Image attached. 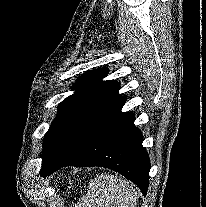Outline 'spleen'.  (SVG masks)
Segmentation results:
<instances>
[{
    "mask_svg": "<svg viewBox=\"0 0 206 207\" xmlns=\"http://www.w3.org/2000/svg\"><path fill=\"white\" fill-rule=\"evenodd\" d=\"M138 193L129 181L101 174L89 183L87 194L75 207H135Z\"/></svg>",
    "mask_w": 206,
    "mask_h": 207,
    "instance_id": "obj_1",
    "label": "spleen"
}]
</instances>
